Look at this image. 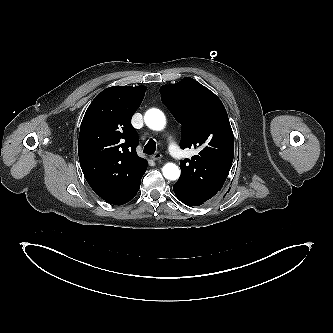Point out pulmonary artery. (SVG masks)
<instances>
[{
  "label": "pulmonary artery",
  "instance_id": "pulmonary-artery-1",
  "mask_svg": "<svg viewBox=\"0 0 333 333\" xmlns=\"http://www.w3.org/2000/svg\"><path fill=\"white\" fill-rule=\"evenodd\" d=\"M169 147L175 157H180V151L174 142H171Z\"/></svg>",
  "mask_w": 333,
  "mask_h": 333
}]
</instances>
